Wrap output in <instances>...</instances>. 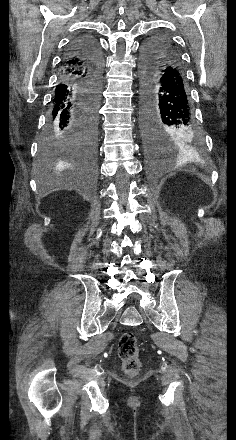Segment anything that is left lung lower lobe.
I'll use <instances>...</instances> for the list:
<instances>
[{"label":"left lung lower lobe","mask_w":236,"mask_h":440,"mask_svg":"<svg viewBox=\"0 0 236 440\" xmlns=\"http://www.w3.org/2000/svg\"><path fill=\"white\" fill-rule=\"evenodd\" d=\"M141 130L151 155L200 143L189 88L178 55L141 63Z\"/></svg>","instance_id":"1"}]
</instances>
